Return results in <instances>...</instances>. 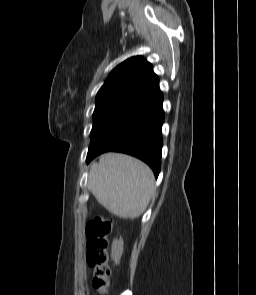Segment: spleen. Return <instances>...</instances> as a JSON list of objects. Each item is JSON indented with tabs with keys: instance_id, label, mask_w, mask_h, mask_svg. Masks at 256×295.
<instances>
[{
	"instance_id": "spleen-1",
	"label": "spleen",
	"mask_w": 256,
	"mask_h": 295,
	"mask_svg": "<svg viewBox=\"0 0 256 295\" xmlns=\"http://www.w3.org/2000/svg\"><path fill=\"white\" fill-rule=\"evenodd\" d=\"M88 188L97 201L122 218L139 217L155 191L154 176L140 160L118 153L100 156L92 164Z\"/></svg>"
}]
</instances>
